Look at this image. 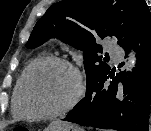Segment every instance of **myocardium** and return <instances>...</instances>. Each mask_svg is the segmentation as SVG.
Masks as SVG:
<instances>
[{
  "instance_id": "f54148a6",
  "label": "myocardium",
  "mask_w": 151,
  "mask_h": 131,
  "mask_svg": "<svg viewBox=\"0 0 151 131\" xmlns=\"http://www.w3.org/2000/svg\"><path fill=\"white\" fill-rule=\"evenodd\" d=\"M47 64H59L66 67L73 74L75 78V88L68 101L59 109L51 112L33 111L30 110L25 104L27 83L29 81L31 74L36 69ZM83 93H84V81L79 69L65 58L58 57V56H46L35 60L26 69L20 84L17 104L20 112L26 117L37 118V119H51L64 115L70 110H72L81 100Z\"/></svg>"
}]
</instances>
